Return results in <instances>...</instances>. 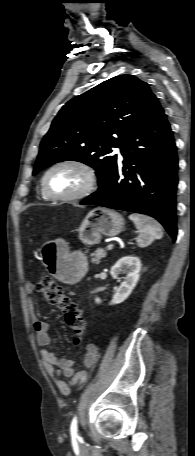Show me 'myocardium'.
<instances>
[{"instance_id":"1","label":"myocardium","mask_w":195,"mask_h":456,"mask_svg":"<svg viewBox=\"0 0 195 456\" xmlns=\"http://www.w3.org/2000/svg\"><path fill=\"white\" fill-rule=\"evenodd\" d=\"M62 166H75L79 169H81L85 175H86V183L85 185L76 193L70 194V195H55L51 193L47 187V177L48 175L56 168L62 167ZM97 184V175L94 170V168L89 165L88 163L82 161V160H77V159H66L59 161L52 166H50L44 175L42 176L41 179V190L43 194L50 200L57 201V202H68V201H75V200H80L92 193L94 188L96 187Z\"/></svg>"}]
</instances>
